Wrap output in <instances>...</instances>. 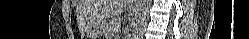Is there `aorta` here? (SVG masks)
<instances>
[{
    "label": "aorta",
    "instance_id": "762f6f07",
    "mask_svg": "<svg viewBox=\"0 0 249 39\" xmlns=\"http://www.w3.org/2000/svg\"><path fill=\"white\" fill-rule=\"evenodd\" d=\"M151 0H138L135 14L134 28L132 30L133 39H140L147 23Z\"/></svg>",
    "mask_w": 249,
    "mask_h": 39
}]
</instances>
